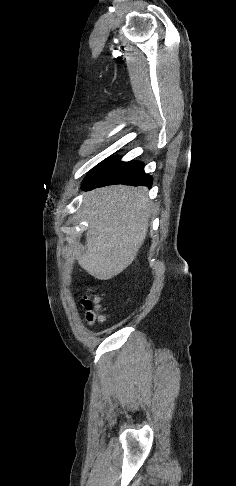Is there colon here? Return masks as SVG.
I'll return each mask as SVG.
<instances>
[{"label": "colon", "instance_id": "colon-1", "mask_svg": "<svg viewBox=\"0 0 236 486\" xmlns=\"http://www.w3.org/2000/svg\"><path fill=\"white\" fill-rule=\"evenodd\" d=\"M80 303L85 309L86 319L89 323L103 321V316L99 314L100 305L98 297L91 294H84L80 298Z\"/></svg>", "mask_w": 236, "mask_h": 486}]
</instances>
